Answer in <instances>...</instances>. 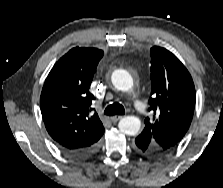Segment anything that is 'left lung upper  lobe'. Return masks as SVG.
Segmentation results:
<instances>
[{
    "label": "left lung upper lobe",
    "instance_id": "left-lung-upper-lobe-1",
    "mask_svg": "<svg viewBox=\"0 0 223 188\" xmlns=\"http://www.w3.org/2000/svg\"><path fill=\"white\" fill-rule=\"evenodd\" d=\"M150 53L149 111L153 112V118L145 119V128L139 136L166 155L189 129L195 108V87L188 70L174 54L161 47H152Z\"/></svg>",
    "mask_w": 223,
    "mask_h": 188
}]
</instances>
